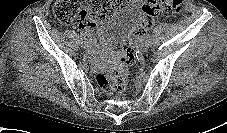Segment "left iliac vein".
Returning a JSON list of instances; mask_svg holds the SVG:
<instances>
[{
    "mask_svg": "<svg viewBox=\"0 0 227 133\" xmlns=\"http://www.w3.org/2000/svg\"><path fill=\"white\" fill-rule=\"evenodd\" d=\"M150 45H151V39H150V37L146 36L144 38V40L142 41L141 50L143 52H146L149 49Z\"/></svg>",
    "mask_w": 227,
    "mask_h": 133,
    "instance_id": "1",
    "label": "left iliac vein"
}]
</instances>
